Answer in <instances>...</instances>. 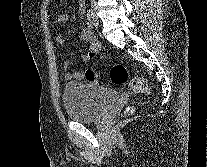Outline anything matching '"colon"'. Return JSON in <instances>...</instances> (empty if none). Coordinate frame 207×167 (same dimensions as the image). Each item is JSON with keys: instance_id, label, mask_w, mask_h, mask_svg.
I'll return each mask as SVG.
<instances>
[{"instance_id": "colon-1", "label": "colon", "mask_w": 207, "mask_h": 167, "mask_svg": "<svg viewBox=\"0 0 207 167\" xmlns=\"http://www.w3.org/2000/svg\"><path fill=\"white\" fill-rule=\"evenodd\" d=\"M84 77L90 83H97L99 78L98 75L92 70H87L84 73ZM110 79L113 83L117 85H124L126 83L129 84V87L140 94L148 95L151 92V88L148 82L142 77H134L132 79L129 78V71L127 67L123 64H114L110 69ZM135 108L133 106H128L124 115L133 114Z\"/></svg>"}]
</instances>
